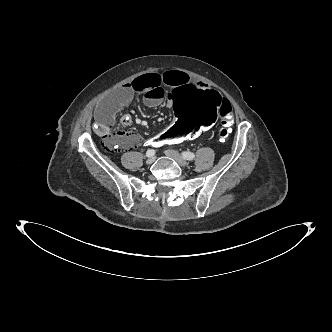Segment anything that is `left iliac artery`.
Wrapping results in <instances>:
<instances>
[{
	"label": "left iliac artery",
	"mask_w": 332,
	"mask_h": 332,
	"mask_svg": "<svg viewBox=\"0 0 332 332\" xmlns=\"http://www.w3.org/2000/svg\"><path fill=\"white\" fill-rule=\"evenodd\" d=\"M182 156L184 159L192 161L195 159V154L192 152H182Z\"/></svg>",
	"instance_id": "44dca946"
}]
</instances>
